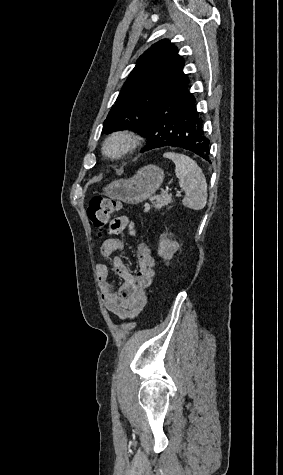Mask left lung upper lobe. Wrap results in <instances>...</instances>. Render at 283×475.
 <instances>
[{"label":"left lung upper lobe","mask_w":283,"mask_h":475,"mask_svg":"<svg viewBox=\"0 0 283 475\" xmlns=\"http://www.w3.org/2000/svg\"><path fill=\"white\" fill-rule=\"evenodd\" d=\"M184 60L168 40L155 43L137 60L115 105L104 121V133L130 128L141 134L154 107L179 83L187 79Z\"/></svg>","instance_id":"1"}]
</instances>
